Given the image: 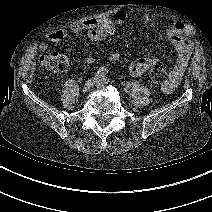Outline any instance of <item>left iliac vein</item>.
Segmentation results:
<instances>
[{"mask_svg":"<svg viewBox=\"0 0 212 212\" xmlns=\"http://www.w3.org/2000/svg\"><path fill=\"white\" fill-rule=\"evenodd\" d=\"M104 82L103 79H99L98 82L96 83L97 88H104Z\"/></svg>","mask_w":212,"mask_h":212,"instance_id":"4c4485c4","label":"left iliac vein"}]
</instances>
